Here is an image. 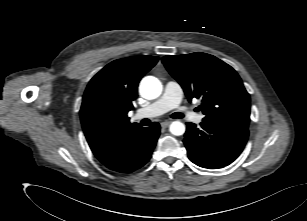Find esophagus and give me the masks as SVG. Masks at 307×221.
I'll return each mask as SVG.
<instances>
[{
    "mask_svg": "<svg viewBox=\"0 0 307 221\" xmlns=\"http://www.w3.org/2000/svg\"><path fill=\"white\" fill-rule=\"evenodd\" d=\"M170 123H171V121L166 120V121L161 122L160 125H161V127L166 128Z\"/></svg>",
    "mask_w": 307,
    "mask_h": 221,
    "instance_id": "obj_1",
    "label": "esophagus"
}]
</instances>
